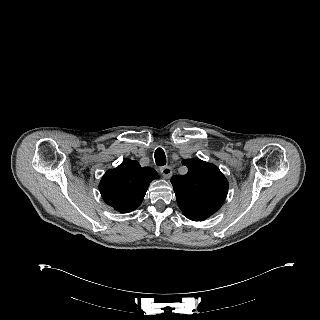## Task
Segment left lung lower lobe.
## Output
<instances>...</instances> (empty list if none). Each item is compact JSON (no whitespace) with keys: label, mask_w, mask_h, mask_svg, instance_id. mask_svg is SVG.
Returning <instances> with one entry per match:
<instances>
[{"label":"left lung lower lobe","mask_w":320,"mask_h":320,"mask_svg":"<svg viewBox=\"0 0 320 320\" xmlns=\"http://www.w3.org/2000/svg\"><path fill=\"white\" fill-rule=\"evenodd\" d=\"M188 219H190V220H193V221H202V220H198V219H195V218H193V217H190V216H188V215H186V214H184Z\"/></svg>","instance_id":"obj_1"}]
</instances>
